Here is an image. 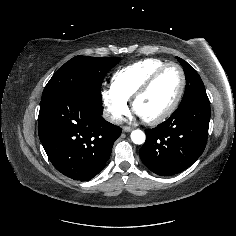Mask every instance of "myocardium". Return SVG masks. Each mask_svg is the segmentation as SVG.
Wrapping results in <instances>:
<instances>
[{"instance_id":"myocardium-1","label":"myocardium","mask_w":236,"mask_h":236,"mask_svg":"<svg viewBox=\"0 0 236 236\" xmlns=\"http://www.w3.org/2000/svg\"><path fill=\"white\" fill-rule=\"evenodd\" d=\"M169 67H175L179 73H180V77H181V83H180V88L179 91L175 97V99L172 101V103L170 104V106L163 111L161 114H159L158 116H156L155 118L152 119H144L142 118V120L151 126L154 125H158L162 122H164L166 119H168L173 113L174 111L177 109L179 103L182 100V97L184 95L185 92V88H186V75H185V71L182 68L181 65H179L178 63L175 62H169L166 63L165 65H163L162 67H160L159 69H157L143 84L142 86L135 92V94L132 97V101H131V106L133 111H135V106L137 101L143 96L145 95L150 88L152 87V85L155 83V81L163 74L164 71H166Z\"/></svg>"}]
</instances>
